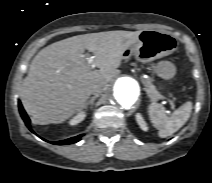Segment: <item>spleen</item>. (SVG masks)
Masks as SVG:
<instances>
[{"label": "spleen", "mask_w": 212, "mask_h": 183, "mask_svg": "<svg viewBox=\"0 0 212 183\" xmlns=\"http://www.w3.org/2000/svg\"><path fill=\"white\" fill-rule=\"evenodd\" d=\"M192 111V102L188 101L175 110L171 115H166L165 108L158 103H151L148 108L149 118L159 136L165 138L178 131L189 119Z\"/></svg>", "instance_id": "3e777b00"}]
</instances>
